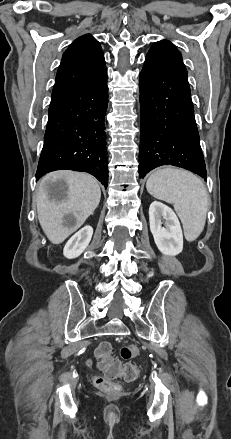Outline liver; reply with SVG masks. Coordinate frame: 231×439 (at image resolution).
<instances>
[{
    "mask_svg": "<svg viewBox=\"0 0 231 439\" xmlns=\"http://www.w3.org/2000/svg\"><path fill=\"white\" fill-rule=\"evenodd\" d=\"M63 181L60 194L53 192L50 184ZM101 198L98 181L91 175L61 170L46 174L40 181L36 204L40 225L53 244L62 243L93 214ZM72 214L75 224L65 225L64 216Z\"/></svg>",
    "mask_w": 231,
    "mask_h": 439,
    "instance_id": "6515ba94",
    "label": "liver"
}]
</instances>
